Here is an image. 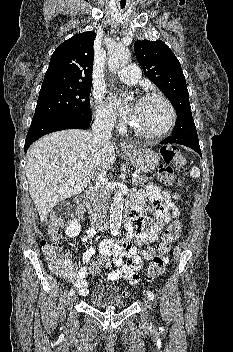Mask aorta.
Instances as JSON below:
<instances>
[{"label": "aorta", "mask_w": 233, "mask_h": 352, "mask_svg": "<svg viewBox=\"0 0 233 352\" xmlns=\"http://www.w3.org/2000/svg\"><path fill=\"white\" fill-rule=\"evenodd\" d=\"M130 52L125 47H117L109 52L108 66L109 70L114 73L124 67L130 60ZM123 193L121 188H116L110 207V232L116 236L121 227L123 211Z\"/></svg>", "instance_id": "obj_1"}]
</instances>
